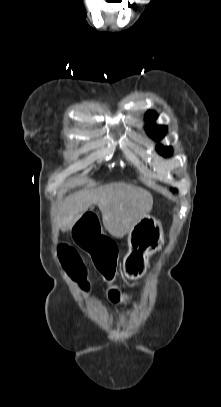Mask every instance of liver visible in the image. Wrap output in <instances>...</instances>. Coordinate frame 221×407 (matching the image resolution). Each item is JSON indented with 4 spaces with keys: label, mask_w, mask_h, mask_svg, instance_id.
<instances>
[{
    "label": "liver",
    "mask_w": 221,
    "mask_h": 407,
    "mask_svg": "<svg viewBox=\"0 0 221 407\" xmlns=\"http://www.w3.org/2000/svg\"><path fill=\"white\" fill-rule=\"evenodd\" d=\"M93 204L99 207L109 234L122 238L140 219L148 216L153 197L148 191L126 183L80 191L65 199L64 222L73 227Z\"/></svg>",
    "instance_id": "6515ba94"
}]
</instances>
